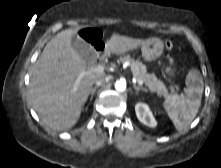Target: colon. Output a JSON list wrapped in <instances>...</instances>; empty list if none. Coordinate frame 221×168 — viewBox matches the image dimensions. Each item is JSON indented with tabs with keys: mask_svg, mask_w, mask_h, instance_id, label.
<instances>
[{
	"mask_svg": "<svg viewBox=\"0 0 221 168\" xmlns=\"http://www.w3.org/2000/svg\"><path fill=\"white\" fill-rule=\"evenodd\" d=\"M85 38L89 41H94L97 38V32L95 30H89L85 34ZM165 47L167 50H171L173 48V43L170 40H167L165 42ZM170 70H171V67L168 66L167 71H170ZM169 90L175 95L178 94L180 91V84L178 82H171L169 84Z\"/></svg>",
	"mask_w": 221,
	"mask_h": 168,
	"instance_id": "5ec220e1",
	"label": "colon"
}]
</instances>
